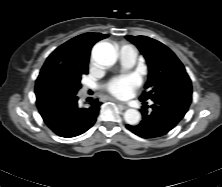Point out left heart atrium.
Listing matches in <instances>:
<instances>
[{
    "label": "left heart atrium",
    "instance_id": "1",
    "mask_svg": "<svg viewBox=\"0 0 222 187\" xmlns=\"http://www.w3.org/2000/svg\"><path fill=\"white\" fill-rule=\"evenodd\" d=\"M139 85V79L133 75L118 77L109 85V91L119 98H128Z\"/></svg>",
    "mask_w": 222,
    "mask_h": 187
}]
</instances>
